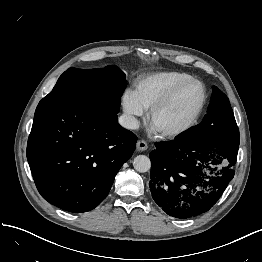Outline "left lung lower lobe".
Returning <instances> with one entry per match:
<instances>
[{
    "mask_svg": "<svg viewBox=\"0 0 262 262\" xmlns=\"http://www.w3.org/2000/svg\"><path fill=\"white\" fill-rule=\"evenodd\" d=\"M150 153L152 198L168 215L191 218L207 212L234 177L239 134L207 141L183 139L155 143Z\"/></svg>",
    "mask_w": 262,
    "mask_h": 262,
    "instance_id": "1",
    "label": "left lung lower lobe"
}]
</instances>
